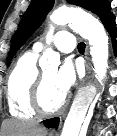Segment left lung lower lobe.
<instances>
[{"instance_id": "obj_1", "label": "left lung lower lobe", "mask_w": 117, "mask_h": 136, "mask_svg": "<svg viewBox=\"0 0 117 136\" xmlns=\"http://www.w3.org/2000/svg\"><path fill=\"white\" fill-rule=\"evenodd\" d=\"M103 24H104L105 29L109 32V34H110V36L113 40L114 52H115V56H117V48H116L117 33H116V28H115V18H114V16L111 15L108 19H106L103 22ZM58 122H59V119L54 118V119L44 121V125L48 128H53V127L58 126Z\"/></svg>"}]
</instances>
